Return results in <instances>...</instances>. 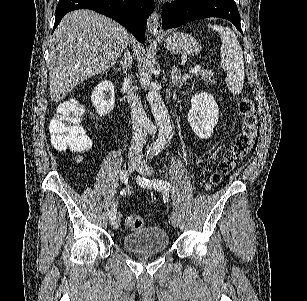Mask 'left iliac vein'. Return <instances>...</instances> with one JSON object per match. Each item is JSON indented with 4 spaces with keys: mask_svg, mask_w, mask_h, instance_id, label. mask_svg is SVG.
<instances>
[{
    "mask_svg": "<svg viewBox=\"0 0 307 301\" xmlns=\"http://www.w3.org/2000/svg\"><path fill=\"white\" fill-rule=\"evenodd\" d=\"M137 170L140 174L145 176H151L153 174L152 169L145 163L137 164ZM180 217L176 211L171 214V223L175 228L179 227Z\"/></svg>",
    "mask_w": 307,
    "mask_h": 301,
    "instance_id": "left-iliac-vein-1",
    "label": "left iliac vein"
}]
</instances>
